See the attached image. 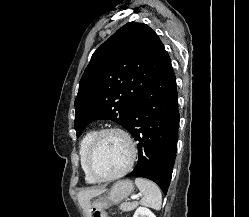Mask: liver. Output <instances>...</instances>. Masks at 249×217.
Listing matches in <instances>:
<instances>
[{
  "instance_id": "1",
  "label": "liver",
  "mask_w": 249,
  "mask_h": 217,
  "mask_svg": "<svg viewBox=\"0 0 249 217\" xmlns=\"http://www.w3.org/2000/svg\"><path fill=\"white\" fill-rule=\"evenodd\" d=\"M103 192H104L103 189H89V190L81 191L78 193V201L81 207L83 208V210L88 215V217L90 215V207H91L90 200L93 197L102 194Z\"/></svg>"
}]
</instances>
